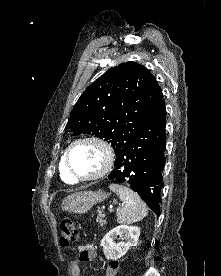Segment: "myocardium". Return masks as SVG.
<instances>
[{
    "label": "myocardium",
    "instance_id": "f54148a6",
    "mask_svg": "<svg viewBox=\"0 0 221 276\" xmlns=\"http://www.w3.org/2000/svg\"><path fill=\"white\" fill-rule=\"evenodd\" d=\"M81 143L95 144L103 152V155H104L103 165L100 168V170L98 172H96L95 174H92L89 176H79V175L75 174L74 171L72 170V167L70 164V153L76 145L81 144ZM114 160H115V155H114V151H113L111 145L106 140H104L103 138H100L98 136H84V137H80V138L74 140L67 147L65 154H64L65 168H66V171L69 174V176L71 178H73L75 181H83V182L94 181V180L104 177L112 169Z\"/></svg>",
    "mask_w": 221,
    "mask_h": 276
}]
</instances>
